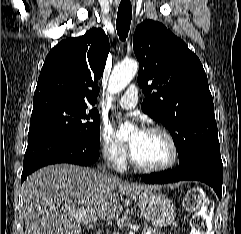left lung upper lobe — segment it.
<instances>
[{
    "label": "left lung upper lobe",
    "mask_w": 241,
    "mask_h": 234,
    "mask_svg": "<svg viewBox=\"0 0 241 234\" xmlns=\"http://www.w3.org/2000/svg\"><path fill=\"white\" fill-rule=\"evenodd\" d=\"M133 49L140 65L137 81L146 96L141 108L170 132L179 164L201 154L220 157L213 99L199 58L153 20L136 27Z\"/></svg>",
    "instance_id": "1"
}]
</instances>
